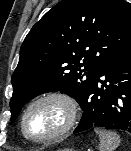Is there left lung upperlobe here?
Returning <instances> with one entry per match:
<instances>
[{
    "label": "left lung upper lobe",
    "mask_w": 131,
    "mask_h": 151,
    "mask_svg": "<svg viewBox=\"0 0 131 151\" xmlns=\"http://www.w3.org/2000/svg\"><path fill=\"white\" fill-rule=\"evenodd\" d=\"M131 44V11L124 0H62L26 36L11 82V120L35 96L61 91L83 109L97 71ZM82 62V63H81Z\"/></svg>",
    "instance_id": "left-lung-upper-lobe-1"
}]
</instances>
